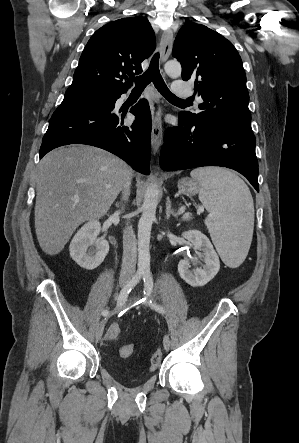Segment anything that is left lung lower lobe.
I'll return each instance as SVG.
<instances>
[{
	"instance_id": "obj_1",
	"label": "left lung lower lobe",
	"mask_w": 299,
	"mask_h": 443,
	"mask_svg": "<svg viewBox=\"0 0 299 443\" xmlns=\"http://www.w3.org/2000/svg\"><path fill=\"white\" fill-rule=\"evenodd\" d=\"M255 136L251 124L202 123L179 113V125L169 128L160 154L165 171L222 166L244 175L259 192Z\"/></svg>"
}]
</instances>
